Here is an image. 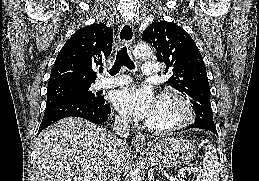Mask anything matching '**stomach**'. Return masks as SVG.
I'll return each instance as SVG.
<instances>
[{"instance_id":"1","label":"stomach","mask_w":259,"mask_h":181,"mask_svg":"<svg viewBox=\"0 0 259 181\" xmlns=\"http://www.w3.org/2000/svg\"><path fill=\"white\" fill-rule=\"evenodd\" d=\"M196 148L188 140L164 138L147 151L148 161L159 167L179 168L188 164L195 156Z\"/></svg>"}]
</instances>
